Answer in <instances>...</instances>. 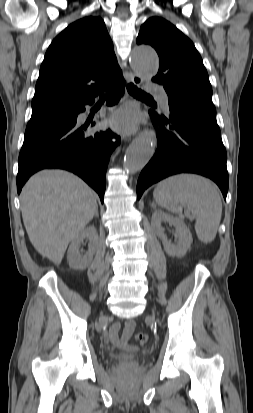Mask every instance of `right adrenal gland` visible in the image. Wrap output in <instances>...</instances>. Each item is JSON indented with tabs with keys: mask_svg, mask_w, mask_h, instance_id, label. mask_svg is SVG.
<instances>
[{
	"mask_svg": "<svg viewBox=\"0 0 253 413\" xmlns=\"http://www.w3.org/2000/svg\"><path fill=\"white\" fill-rule=\"evenodd\" d=\"M95 216L98 218L99 214H98V210H96Z\"/></svg>",
	"mask_w": 253,
	"mask_h": 413,
	"instance_id": "2a0ac1e0",
	"label": "right adrenal gland"
}]
</instances>
